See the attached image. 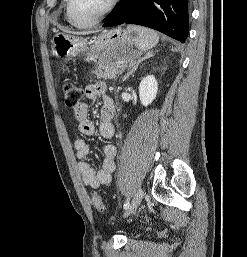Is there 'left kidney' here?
Wrapping results in <instances>:
<instances>
[{
	"instance_id": "5707ae66",
	"label": "left kidney",
	"mask_w": 247,
	"mask_h": 257,
	"mask_svg": "<svg viewBox=\"0 0 247 257\" xmlns=\"http://www.w3.org/2000/svg\"><path fill=\"white\" fill-rule=\"evenodd\" d=\"M158 82L153 75H148L139 85V97L143 106H148L156 98Z\"/></svg>"
}]
</instances>
